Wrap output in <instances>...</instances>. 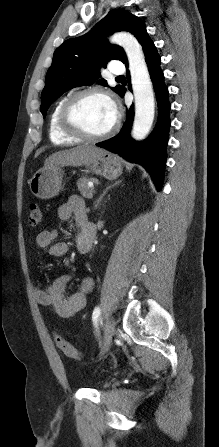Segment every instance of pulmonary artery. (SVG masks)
I'll use <instances>...</instances> for the list:
<instances>
[{
	"label": "pulmonary artery",
	"mask_w": 219,
	"mask_h": 447,
	"mask_svg": "<svg viewBox=\"0 0 219 447\" xmlns=\"http://www.w3.org/2000/svg\"><path fill=\"white\" fill-rule=\"evenodd\" d=\"M110 72H111L113 75H122V74H124V72H125V66H124V64H123L122 62H120V61H114V62L111 64Z\"/></svg>",
	"instance_id": "e3ab8cb5"
}]
</instances>
